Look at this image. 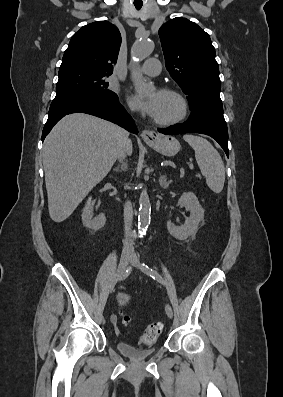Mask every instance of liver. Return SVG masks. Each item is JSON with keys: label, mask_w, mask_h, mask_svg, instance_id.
I'll return each instance as SVG.
<instances>
[{"label": "liver", "mask_w": 283, "mask_h": 397, "mask_svg": "<svg viewBox=\"0 0 283 397\" xmlns=\"http://www.w3.org/2000/svg\"><path fill=\"white\" fill-rule=\"evenodd\" d=\"M122 129L84 113L62 118L46 137L43 166L49 215L66 220L108 174L122 148ZM127 154H132L130 141Z\"/></svg>", "instance_id": "obj_1"}]
</instances>
